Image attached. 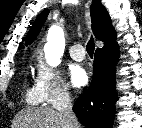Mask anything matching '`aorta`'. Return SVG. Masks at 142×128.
I'll list each match as a JSON object with an SVG mask.
<instances>
[{
    "label": "aorta",
    "instance_id": "1",
    "mask_svg": "<svg viewBox=\"0 0 142 128\" xmlns=\"http://www.w3.org/2000/svg\"><path fill=\"white\" fill-rule=\"evenodd\" d=\"M65 49L64 31L59 25H53L48 31L47 43L44 46L49 65L57 66Z\"/></svg>",
    "mask_w": 142,
    "mask_h": 128
}]
</instances>
